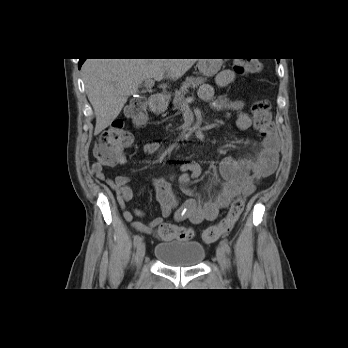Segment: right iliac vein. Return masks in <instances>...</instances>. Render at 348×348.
<instances>
[{"label":"right iliac vein","instance_id":"63e3f726","mask_svg":"<svg viewBox=\"0 0 348 348\" xmlns=\"http://www.w3.org/2000/svg\"><path fill=\"white\" fill-rule=\"evenodd\" d=\"M145 252H146V245L143 241H141L139 243V245L137 246V250H136V262L137 264H140L145 256Z\"/></svg>","mask_w":348,"mask_h":348}]
</instances>
